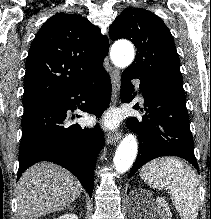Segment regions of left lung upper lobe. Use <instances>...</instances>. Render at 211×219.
<instances>
[{"label":"left lung upper lobe","instance_id":"1","mask_svg":"<svg viewBox=\"0 0 211 219\" xmlns=\"http://www.w3.org/2000/svg\"><path fill=\"white\" fill-rule=\"evenodd\" d=\"M109 36L113 41L128 39L136 46L135 60L127 71L145 79L182 82L173 37L154 13L141 8L124 9L109 27Z\"/></svg>","mask_w":211,"mask_h":219}]
</instances>
